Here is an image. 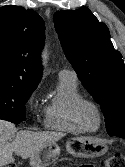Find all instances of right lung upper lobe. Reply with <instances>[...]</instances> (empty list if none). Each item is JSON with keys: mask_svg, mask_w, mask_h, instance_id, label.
I'll return each instance as SVG.
<instances>
[{"mask_svg": "<svg viewBox=\"0 0 125 167\" xmlns=\"http://www.w3.org/2000/svg\"><path fill=\"white\" fill-rule=\"evenodd\" d=\"M44 30L37 12L14 5L0 8V85L36 89Z\"/></svg>", "mask_w": 125, "mask_h": 167, "instance_id": "obj_1", "label": "right lung upper lobe"}]
</instances>
